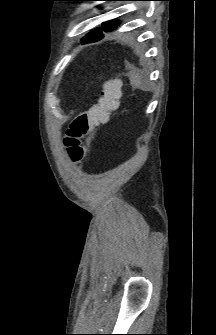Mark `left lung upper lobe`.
Listing matches in <instances>:
<instances>
[{
  "label": "left lung upper lobe",
  "instance_id": "1",
  "mask_svg": "<svg viewBox=\"0 0 216 335\" xmlns=\"http://www.w3.org/2000/svg\"><path fill=\"white\" fill-rule=\"evenodd\" d=\"M105 1H118V0H105ZM117 24H118V22L114 21V20L107 21V22H104L102 24V28L105 31H112L113 29L116 28ZM102 28H96L95 30H92L85 37H83L82 40H84V41H91V40L94 41L98 37L103 36V34H102Z\"/></svg>",
  "mask_w": 216,
  "mask_h": 335
}]
</instances>
